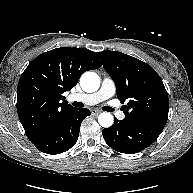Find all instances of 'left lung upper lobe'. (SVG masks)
<instances>
[{"label":"left lung upper lobe","instance_id":"left-lung-upper-lobe-1","mask_svg":"<svg viewBox=\"0 0 193 193\" xmlns=\"http://www.w3.org/2000/svg\"><path fill=\"white\" fill-rule=\"evenodd\" d=\"M96 54L116 85L118 99L121 103L129 101L122 107L125 122L167 120L168 94L151 66L117 51L104 50Z\"/></svg>","mask_w":193,"mask_h":193}]
</instances>
